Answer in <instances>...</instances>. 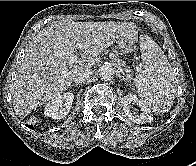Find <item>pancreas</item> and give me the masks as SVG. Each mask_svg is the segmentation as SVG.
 I'll list each match as a JSON object with an SVG mask.
<instances>
[{"label": "pancreas", "instance_id": "pancreas-1", "mask_svg": "<svg viewBox=\"0 0 196 166\" xmlns=\"http://www.w3.org/2000/svg\"><path fill=\"white\" fill-rule=\"evenodd\" d=\"M118 67L120 69V71L122 72V74H124L127 78L131 77V71L130 68L127 67L124 62H119L118 63Z\"/></svg>", "mask_w": 196, "mask_h": 166}]
</instances>
